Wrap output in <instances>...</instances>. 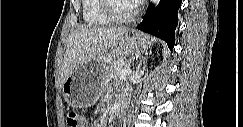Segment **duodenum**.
<instances>
[{
    "mask_svg": "<svg viewBox=\"0 0 243 127\" xmlns=\"http://www.w3.org/2000/svg\"><path fill=\"white\" fill-rule=\"evenodd\" d=\"M128 103V98L126 95L122 96L119 101L117 102V104L115 105V112L118 115H121L124 113L126 105Z\"/></svg>",
    "mask_w": 243,
    "mask_h": 127,
    "instance_id": "obj_1",
    "label": "duodenum"
}]
</instances>
